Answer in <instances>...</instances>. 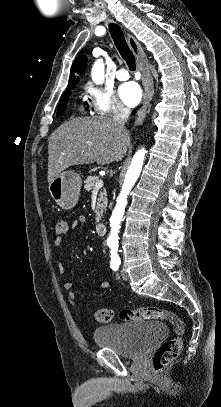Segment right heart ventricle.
I'll return each instance as SVG.
<instances>
[{
	"label": "right heart ventricle",
	"instance_id": "e07e8e85",
	"mask_svg": "<svg viewBox=\"0 0 221 407\" xmlns=\"http://www.w3.org/2000/svg\"><path fill=\"white\" fill-rule=\"evenodd\" d=\"M79 110H80V111H82V110H83V108H82V107H80V108H79Z\"/></svg>",
	"mask_w": 221,
	"mask_h": 407
}]
</instances>
